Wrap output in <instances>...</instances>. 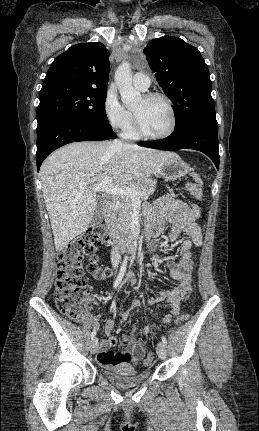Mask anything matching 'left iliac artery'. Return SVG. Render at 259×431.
<instances>
[{"label":"left iliac artery","mask_w":259,"mask_h":431,"mask_svg":"<svg viewBox=\"0 0 259 431\" xmlns=\"http://www.w3.org/2000/svg\"><path fill=\"white\" fill-rule=\"evenodd\" d=\"M162 342L166 345L167 344V339L164 337V336H162Z\"/></svg>","instance_id":"obj_1"}]
</instances>
